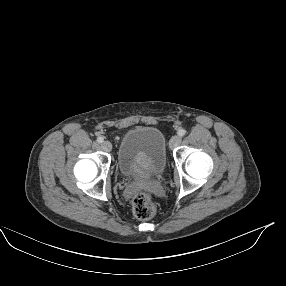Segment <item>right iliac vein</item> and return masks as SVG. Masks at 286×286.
I'll use <instances>...</instances> for the list:
<instances>
[{"label": "right iliac vein", "instance_id": "1", "mask_svg": "<svg viewBox=\"0 0 286 286\" xmlns=\"http://www.w3.org/2000/svg\"><path fill=\"white\" fill-rule=\"evenodd\" d=\"M102 148H103V150H105V151H111V150H112V144H111V142H109V141H104V142L102 143Z\"/></svg>", "mask_w": 286, "mask_h": 286}]
</instances>
